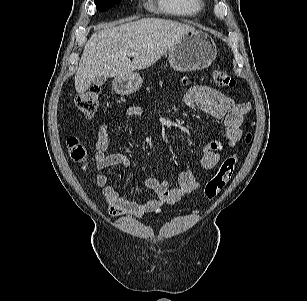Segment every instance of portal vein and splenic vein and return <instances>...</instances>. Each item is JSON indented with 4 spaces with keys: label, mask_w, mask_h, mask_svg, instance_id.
Listing matches in <instances>:
<instances>
[{
    "label": "portal vein and splenic vein",
    "mask_w": 307,
    "mask_h": 301,
    "mask_svg": "<svg viewBox=\"0 0 307 301\" xmlns=\"http://www.w3.org/2000/svg\"><path fill=\"white\" fill-rule=\"evenodd\" d=\"M128 55H129V56H136L137 53H136V52H130Z\"/></svg>",
    "instance_id": "portal-vein-and-splenic-vein-1"
}]
</instances>
